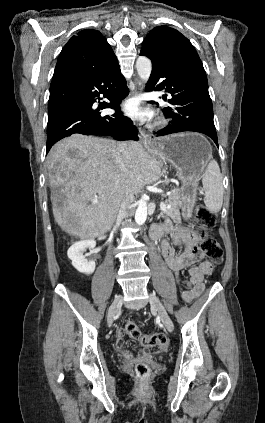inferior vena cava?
Here are the masks:
<instances>
[{"instance_id":"602c4592","label":"inferior vena cava","mask_w":265,"mask_h":423,"mask_svg":"<svg viewBox=\"0 0 265 423\" xmlns=\"http://www.w3.org/2000/svg\"><path fill=\"white\" fill-rule=\"evenodd\" d=\"M116 150L118 153V162L120 166V170L125 176L126 174V165L123 160V152L125 151V144L124 143H117ZM134 201V194L131 189L130 183L128 180L124 182V184L119 188L118 194V210L119 216L125 217L129 214V206Z\"/></svg>"}]
</instances>
